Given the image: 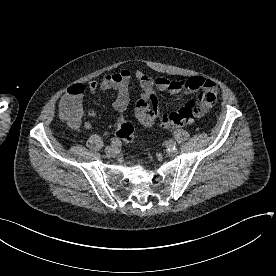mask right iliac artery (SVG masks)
<instances>
[{
    "mask_svg": "<svg viewBox=\"0 0 276 276\" xmlns=\"http://www.w3.org/2000/svg\"><path fill=\"white\" fill-rule=\"evenodd\" d=\"M111 144H112V146H120V142L116 138L112 139Z\"/></svg>",
    "mask_w": 276,
    "mask_h": 276,
    "instance_id": "obj_1",
    "label": "right iliac artery"
}]
</instances>
